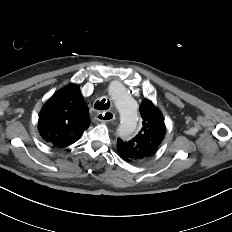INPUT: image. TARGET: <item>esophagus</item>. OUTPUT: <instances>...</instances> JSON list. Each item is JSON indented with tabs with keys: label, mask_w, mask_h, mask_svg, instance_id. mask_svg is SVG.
<instances>
[{
	"label": "esophagus",
	"mask_w": 232,
	"mask_h": 232,
	"mask_svg": "<svg viewBox=\"0 0 232 232\" xmlns=\"http://www.w3.org/2000/svg\"><path fill=\"white\" fill-rule=\"evenodd\" d=\"M96 119L101 122H110L115 119V114L112 111H100L97 113Z\"/></svg>",
	"instance_id": "34e87169"
}]
</instances>
